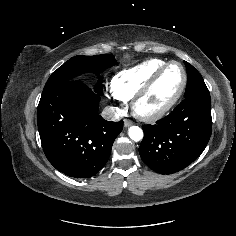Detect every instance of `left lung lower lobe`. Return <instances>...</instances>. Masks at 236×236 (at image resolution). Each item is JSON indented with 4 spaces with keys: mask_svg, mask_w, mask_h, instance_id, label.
<instances>
[{
    "mask_svg": "<svg viewBox=\"0 0 236 236\" xmlns=\"http://www.w3.org/2000/svg\"><path fill=\"white\" fill-rule=\"evenodd\" d=\"M142 160L160 174L184 169L204 151L212 132L209 91L191 94L155 125H143Z\"/></svg>",
    "mask_w": 236,
    "mask_h": 236,
    "instance_id": "left-lung-lower-lobe-1",
    "label": "left lung lower lobe"
}]
</instances>
